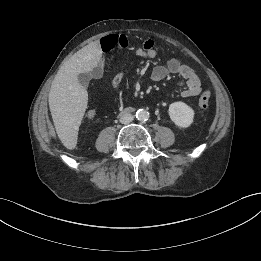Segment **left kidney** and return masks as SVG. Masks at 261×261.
<instances>
[{
	"label": "left kidney",
	"mask_w": 261,
	"mask_h": 261,
	"mask_svg": "<svg viewBox=\"0 0 261 261\" xmlns=\"http://www.w3.org/2000/svg\"><path fill=\"white\" fill-rule=\"evenodd\" d=\"M172 122L181 128H187L193 123L194 110L184 102L170 104L168 110Z\"/></svg>",
	"instance_id": "left-kidney-1"
}]
</instances>
